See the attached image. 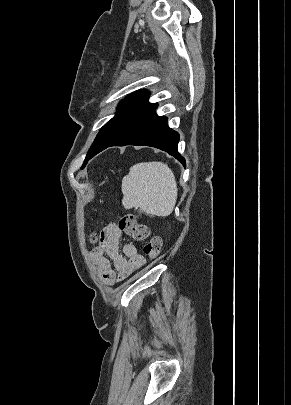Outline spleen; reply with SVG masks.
I'll use <instances>...</instances> for the list:
<instances>
[{
  "mask_svg": "<svg viewBox=\"0 0 291 405\" xmlns=\"http://www.w3.org/2000/svg\"><path fill=\"white\" fill-rule=\"evenodd\" d=\"M124 208H140L152 216H169L177 199V183L172 170L162 162L133 165L122 180Z\"/></svg>",
  "mask_w": 291,
  "mask_h": 405,
  "instance_id": "3e777b00",
  "label": "spleen"
}]
</instances>
